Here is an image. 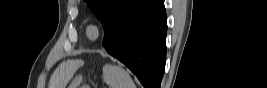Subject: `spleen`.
I'll return each mask as SVG.
<instances>
[{"label": "spleen", "mask_w": 267, "mask_h": 88, "mask_svg": "<svg viewBox=\"0 0 267 88\" xmlns=\"http://www.w3.org/2000/svg\"><path fill=\"white\" fill-rule=\"evenodd\" d=\"M103 80L111 88H136L129 73L116 65L103 66Z\"/></svg>", "instance_id": "obj_1"}]
</instances>
